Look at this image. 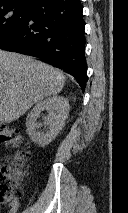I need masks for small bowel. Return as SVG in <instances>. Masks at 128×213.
Masks as SVG:
<instances>
[{"instance_id": "obj_1", "label": "small bowel", "mask_w": 128, "mask_h": 213, "mask_svg": "<svg viewBox=\"0 0 128 213\" xmlns=\"http://www.w3.org/2000/svg\"><path fill=\"white\" fill-rule=\"evenodd\" d=\"M20 203L18 200H12L8 204L7 213H17L19 210Z\"/></svg>"}]
</instances>
